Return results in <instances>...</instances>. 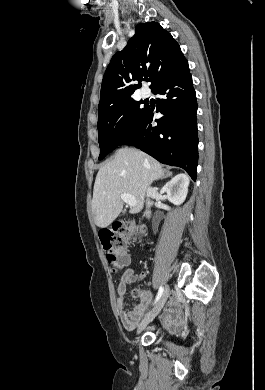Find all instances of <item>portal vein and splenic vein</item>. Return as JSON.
Masks as SVG:
<instances>
[{
  "instance_id": "1",
  "label": "portal vein and splenic vein",
  "mask_w": 265,
  "mask_h": 390,
  "mask_svg": "<svg viewBox=\"0 0 265 390\" xmlns=\"http://www.w3.org/2000/svg\"><path fill=\"white\" fill-rule=\"evenodd\" d=\"M121 199L130 207L136 206L137 202L134 196L129 194H121Z\"/></svg>"
}]
</instances>
